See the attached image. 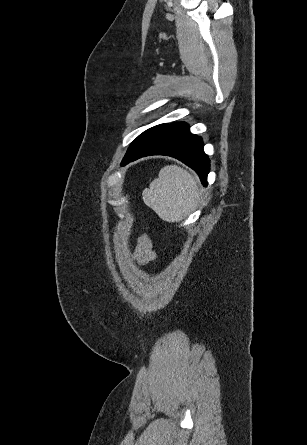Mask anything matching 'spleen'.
<instances>
[{"instance_id": "spleen-1", "label": "spleen", "mask_w": 307, "mask_h": 445, "mask_svg": "<svg viewBox=\"0 0 307 445\" xmlns=\"http://www.w3.org/2000/svg\"><path fill=\"white\" fill-rule=\"evenodd\" d=\"M142 198L166 223H179L195 210L200 192L193 174L177 164H167L158 178L152 180L150 188H144Z\"/></svg>"}]
</instances>
